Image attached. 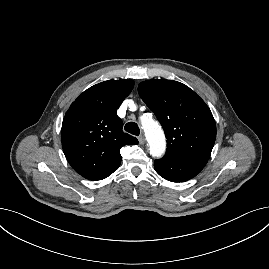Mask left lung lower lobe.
<instances>
[{"instance_id": "1", "label": "left lung lower lobe", "mask_w": 269, "mask_h": 269, "mask_svg": "<svg viewBox=\"0 0 269 269\" xmlns=\"http://www.w3.org/2000/svg\"><path fill=\"white\" fill-rule=\"evenodd\" d=\"M207 160L165 155L154 161L155 171L164 179L171 182H184L195 177L206 165Z\"/></svg>"}]
</instances>
